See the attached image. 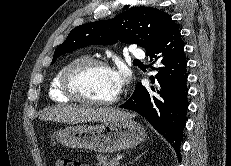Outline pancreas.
<instances>
[{
    "mask_svg": "<svg viewBox=\"0 0 231 166\" xmlns=\"http://www.w3.org/2000/svg\"><path fill=\"white\" fill-rule=\"evenodd\" d=\"M118 163L113 160H109L107 155H97V166H117Z\"/></svg>",
    "mask_w": 231,
    "mask_h": 166,
    "instance_id": "cf45deb5",
    "label": "pancreas"
}]
</instances>
